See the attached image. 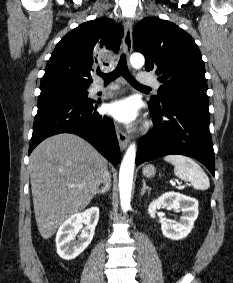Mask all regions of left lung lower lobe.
<instances>
[{
	"instance_id": "0a47b994",
	"label": "left lung lower lobe",
	"mask_w": 233,
	"mask_h": 283,
	"mask_svg": "<svg viewBox=\"0 0 233 283\" xmlns=\"http://www.w3.org/2000/svg\"><path fill=\"white\" fill-rule=\"evenodd\" d=\"M148 104L155 129L140 140L136 164L180 154L197 159L214 175L208 96L188 91L174 94L160 104Z\"/></svg>"
}]
</instances>
